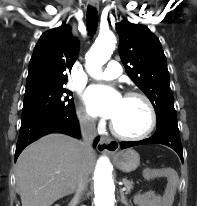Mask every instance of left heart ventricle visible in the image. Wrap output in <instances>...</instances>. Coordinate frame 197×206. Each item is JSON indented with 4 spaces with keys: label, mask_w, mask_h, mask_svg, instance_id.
<instances>
[{
    "label": "left heart ventricle",
    "mask_w": 197,
    "mask_h": 206,
    "mask_svg": "<svg viewBox=\"0 0 197 206\" xmlns=\"http://www.w3.org/2000/svg\"><path fill=\"white\" fill-rule=\"evenodd\" d=\"M112 121L122 133L140 134L149 125V111L139 98H122L119 110Z\"/></svg>",
    "instance_id": "obj_1"
}]
</instances>
